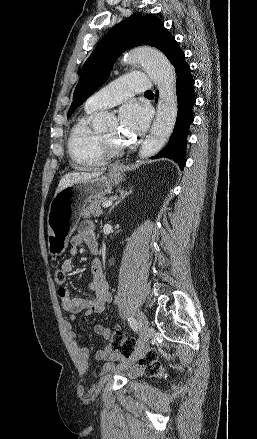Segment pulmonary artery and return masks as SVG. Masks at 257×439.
I'll return each mask as SVG.
<instances>
[{
    "label": "pulmonary artery",
    "instance_id": "e3ab8cb5",
    "mask_svg": "<svg viewBox=\"0 0 257 439\" xmlns=\"http://www.w3.org/2000/svg\"><path fill=\"white\" fill-rule=\"evenodd\" d=\"M152 89V80L144 73H128L92 95L85 104L87 111L108 109L134 93Z\"/></svg>",
    "mask_w": 257,
    "mask_h": 439
}]
</instances>
